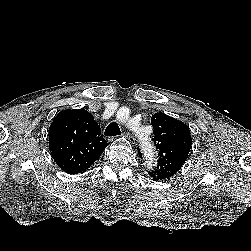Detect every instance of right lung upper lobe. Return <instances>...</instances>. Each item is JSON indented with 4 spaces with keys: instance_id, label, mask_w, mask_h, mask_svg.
<instances>
[{
    "instance_id": "right-lung-upper-lobe-1",
    "label": "right lung upper lobe",
    "mask_w": 251,
    "mask_h": 251,
    "mask_svg": "<svg viewBox=\"0 0 251 251\" xmlns=\"http://www.w3.org/2000/svg\"><path fill=\"white\" fill-rule=\"evenodd\" d=\"M48 136L54 161L68 174L85 172L108 145L100 126L84 109L59 112Z\"/></svg>"
}]
</instances>
